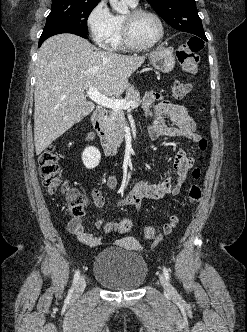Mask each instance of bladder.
I'll return each instance as SVG.
<instances>
[{"label":"bladder","instance_id":"31cf9c89","mask_svg":"<svg viewBox=\"0 0 247 332\" xmlns=\"http://www.w3.org/2000/svg\"><path fill=\"white\" fill-rule=\"evenodd\" d=\"M93 271L94 278L103 286L130 291L142 286L148 267L141 254L123 246H111L98 253Z\"/></svg>","mask_w":247,"mask_h":332}]
</instances>
